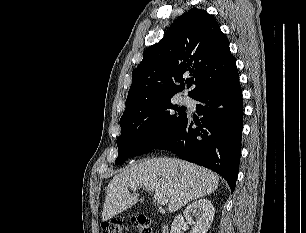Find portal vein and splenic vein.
Segmentation results:
<instances>
[{
	"label": "portal vein and splenic vein",
	"mask_w": 306,
	"mask_h": 233,
	"mask_svg": "<svg viewBox=\"0 0 306 233\" xmlns=\"http://www.w3.org/2000/svg\"><path fill=\"white\" fill-rule=\"evenodd\" d=\"M136 188L137 187H131L132 190H135ZM153 197L157 201V203L161 205H165L168 203V199L165 196H163L161 193H155Z\"/></svg>",
	"instance_id": "obj_1"
}]
</instances>
